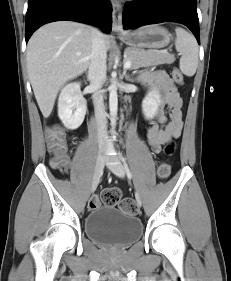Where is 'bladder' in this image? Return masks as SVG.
Returning a JSON list of instances; mask_svg holds the SVG:
<instances>
[{"label":"bladder","mask_w":231,"mask_h":281,"mask_svg":"<svg viewBox=\"0 0 231 281\" xmlns=\"http://www.w3.org/2000/svg\"><path fill=\"white\" fill-rule=\"evenodd\" d=\"M87 237L106 246L125 247L142 235L141 221L112 206L94 208L84 220Z\"/></svg>","instance_id":"bladder-1"}]
</instances>
